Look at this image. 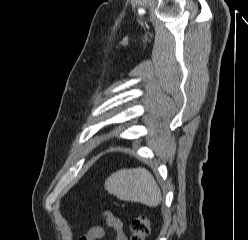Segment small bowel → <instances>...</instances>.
Masks as SVG:
<instances>
[{"instance_id": "small-bowel-1", "label": "small bowel", "mask_w": 248, "mask_h": 240, "mask_svg": "<svg viewBox=\"0 0 248 240\" xmlns=\"http://www.w3.org/2000/svg\"><path fill=\"white\" fill-rule=\"evenodd\" d=\"M102 218L113 230L114 240H127L123 222L110 211L102 213ZM104 237V230L101 226H92L79 240H98Z\"/></svg>"}]
</instances>
